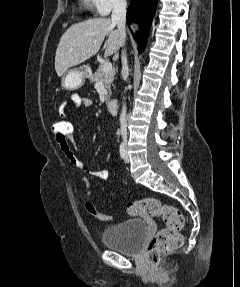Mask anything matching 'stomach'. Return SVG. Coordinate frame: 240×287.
I'll use <instances>...</instances> for the list:
<instances>
[{
	"instance_id": "stomach-1",
	"label": "stomach",
	"mask_w": 240,
	"mask_h": 287,
	"mask_svg": "<svg viewBox=\"0 0 240 287\" xmlns=\"http://www.w3.org/2000/svg\"><path fill=\"white\" fill-rule=\"evenodd\" d=\"M89 75L90 68L86 65L70 69L62 77V87L67 90H75L84 84Z\"/></svg>"
}]
</instances>
